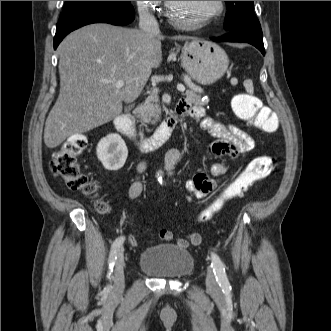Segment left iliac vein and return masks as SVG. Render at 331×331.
<instances>
[{"label": "left iliac vein", "instance_id": "4c4485c4", "mask_svg": "<svg viewBox=\"0 0 331 331\" xmlns=\"http://www.w3.org/2000/svg\"><path fill=\"white\" fill-rule=\"evenodd\" d=\"M206 285L211 291L218 290V283L215 278V274L213 273V270L211 268H208L207 270Z\"/></svg>", "mask_w": 331, "mask_h": 331}]
</instances>
